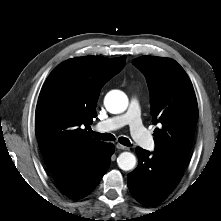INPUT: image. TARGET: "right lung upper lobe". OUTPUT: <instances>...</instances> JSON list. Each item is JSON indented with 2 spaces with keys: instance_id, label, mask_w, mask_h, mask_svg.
Instances as JSON below:
<instances>
[{
  "instance_id": "cb5924a9",
  "label": "right lung upper lobe",
  "mask_w": 221,
  "mask_h": 221,
  "mask_svg": "<svg viewBox=\"0 0 221 221\" xmlns=\"http://www.w3.org/2000/svg\"><path fill=\"white\" fill-rule=\"evenodd\" d=\"M126 57L87 56L58 65L46 79L36 106L35 131L52 175L97 160L107 143L89 136L102 86L125 65Z\"/></svg>"
}]
</instances>
